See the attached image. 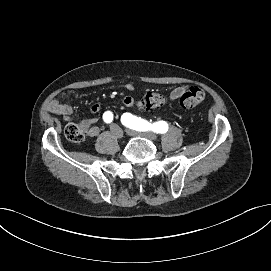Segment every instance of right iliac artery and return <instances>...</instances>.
Wrapping results in <instances>:
<instances>
[{
  "instance_id": "obj_1",
  "label": "right iliac artery",
  "mask_w": 271,
  "mask_h": 271,
  "mask_svg": "<svg viewBox=\"0 0 271 271\" xmlns=\"http://www.w3.org/2000/svg\"><path fill=\"white\" fill-rule=\"evenodd\" d=\"M103 120L106 123H110L113 120V114L110 111H107L103 114Z\"/></svg>"
}]
</instances>
